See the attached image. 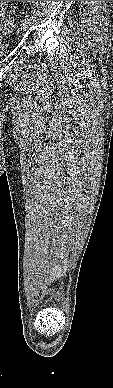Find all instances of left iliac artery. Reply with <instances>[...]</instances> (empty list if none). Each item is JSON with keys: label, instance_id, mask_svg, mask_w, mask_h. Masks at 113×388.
<instances>
[{"label": "left iliac artery", "instance_id": "obj_1", "mask_svg": "<svg viewBox=\"0 0 113 388\" xmlns=\"http://www.w3.org/2000/svg\"><path fill=\"white\" fill-rule=\"evenodd\" d=\"M28 17H29V16H28V15H26V16H25V20H28Z\"/></svg>", "mask_w": 113, "mask_h": 388}]
</instances>
